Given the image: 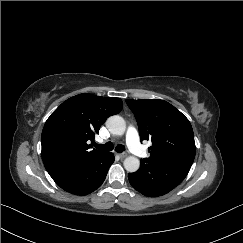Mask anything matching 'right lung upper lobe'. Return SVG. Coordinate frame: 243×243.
I'll return each mask as SVG.
<instances>
[{
  "label": "right lung upper lobe",
  "mask_w": 243,
  "mask_h": 243,
  "mask_svg": "<svg viewBox=\"0 0 243 243\" xmlns=\"http://www.w3.org/2000/svg\"><path fill=\"white\" fill-rule=\"evenodd\" d=\"M120 98L79 94L63 102L42 131V159L49 174L80 166L106 152L91 149L90 141L105 120L119 113Z\"/></svg>",
  "instance_id": "1"
}]
</instances>
